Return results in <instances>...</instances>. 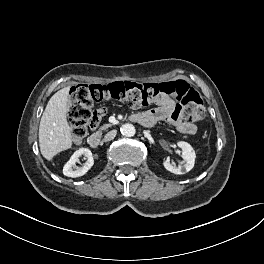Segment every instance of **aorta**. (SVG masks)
I'll use <instances>...</instances> for the list:
<instances>
[{
  "instance_id": "1",
  "label": "aorta",
  "mask_w": 264,
  "mask_h": 264,
  "mask_svg": "<svg viewBox=\"0 0 264 264\" xmlns=\"http://www.w3.org/2000/svg\"><path fill=\"white\" fill-rule=\"evenodd\" d=\"M121 134L126 137H132L136 133V129L132 124L126 123L120 128Z\"/></svg>"
}]
</instances>
